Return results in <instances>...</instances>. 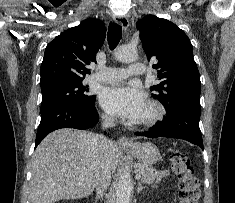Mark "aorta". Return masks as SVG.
Masks as SVG:
<instances>
[{"label": "aorta", "instance_id": "obj_1", "mask_svg": "<svg viewBox=\"0 0 235 203\" xmlns=\"http://www.w3.org/2000/svg\"><path fill=\"white\" fill-rule=\"evenodd\" d=\"M118 61L126 63L133 62L138 59V53L135 48L129 46H120L115 52ZM132 192V181L129 169L125 168L121 174L116 188V203H130Z\"/></svg>", "mask_w": 235, "mask_h": 203}]
</instances>
